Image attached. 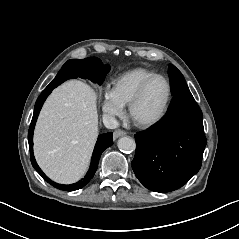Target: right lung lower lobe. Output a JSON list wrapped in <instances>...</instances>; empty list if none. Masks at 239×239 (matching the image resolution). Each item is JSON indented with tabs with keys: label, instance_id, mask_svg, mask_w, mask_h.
I'll list each match as a JSON object with an SVG mask.
<instances>
[{
	"label": "right lung lower lobe",
	"instance_id": "right-lung-lower-lobe-1",
	"mask_svg": "<svg viewBox=\"0 0 239 239\" xmlns=\"http://www.w3.org/2000/svg\"><path fill=\"white\" fill-rule=\"evenodd\" d=\"M110 70L109 65H103L100 59L96 57H89L86 59H77V60H69L67 61L62 69L58 72L57 76L50 82V84L43 90L41 95L38 97L35 107H34V114L31 121V125L28 132V141H29V148H30V160L35 168V170L42 176L44 180H46L49 184L54 186L57 189L64 190V191H74L84 187L94 176L99 163V157L101 156L102 152L113 144L112 141V132L101 134L98 137L97 143L94 148L91 165L89 171L87 172L84 179H81L77 183L70 184V185H63L58 184L50 180L40 169L37 165L36 160L33 155V131L36 124L37 117L41 110V107L51 93V91L56 88L58 85L66 81L70 78H88L93 82H98L101 84Z\"/></svg>",
	"mask_w": 239,
	"mask_h": 239
}]
</instances>
